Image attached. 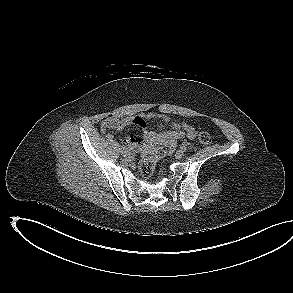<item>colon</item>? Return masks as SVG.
I'll return each instance as SVG.
<instances>
[{"instance_id":"5ec220e1","label":"colon","mask_w":293,"mask_h":293,"mask_svg":"<svg viewBox=\"0 0 293 293\" xmlns=\"http://www.w3.org/2000/svg\"><path fill=\"white\" fill-rule=\"evenodd\" d=\"M199 142L203 145H208L212 142V137L208 132H201L198 136ZM174 142H165L159 146L153 148L139 164V173L144 178L152 176L156 162L166 155L173 152L176 147Z\"/></svg>"}]
</instances>
